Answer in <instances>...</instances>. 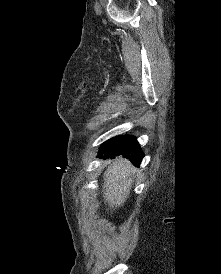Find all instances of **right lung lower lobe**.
Wrapping results in <instances>:
<instances>
[{"mask_svg": "<svg viewBox=\"0 0 221 274\" xmlns=\"http://www.w3.org/2000/svg\"><path fill=\"white\" fill-rule=\"evenodd\" d=\"M104 158H114L120 154L131 160L134 165H139L143 158V153L140 149L136 138L125 135L114 137L102 144L99 155Z\"/></svg>", "mask_w": 221, "mask_h": 274, "instance_id": "1", "label": "right lung lower lobe"}]
</instances>
